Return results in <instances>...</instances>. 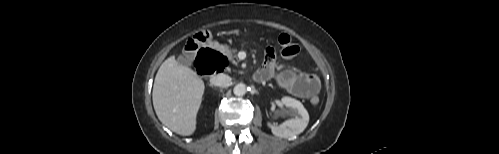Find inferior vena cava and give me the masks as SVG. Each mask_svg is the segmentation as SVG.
Masks as SVG:
<instances>
[{"instance_id":"1","label":"inferior vena cava","mask_w":499,"mask_h":154,"mask_svg":"<svg viewBox=\"0 0 499 154\" xmlns=\"http://www.w3.org/2000/svg\"><path fill=\"white\" fill-rule=\"evenodd\" d=\"M230 82L231 78L228 75L222 73L213 75L210 79V83L218 87L227 86Z\"/></svg>"}]
</instances>
